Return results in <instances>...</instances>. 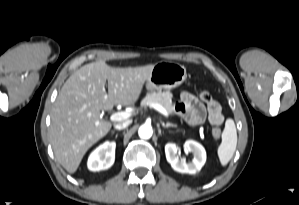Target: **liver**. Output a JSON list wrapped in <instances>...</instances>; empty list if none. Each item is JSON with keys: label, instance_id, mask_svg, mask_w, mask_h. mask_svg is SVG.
Returning a JSON list of instances; mask_svg holds the SVG:
<instances>
[{"label": "liver", "instance_id": "6515ba94", "mask_svg": "<svg viewBox=\"0 0 299 205\" xmlns=\"http://www.w3.org/2000/svg\"><path fill=\"white\" fill-rule=\"evenodd\" d=\"M153 67L115 68L98 61L67 79L56 99L49 132L55 157L67 172H76L87 150L111 129L100 111L134 104Z\"/></svg>", "mask_w": 299, "mask_h": 205}]
</instances>
